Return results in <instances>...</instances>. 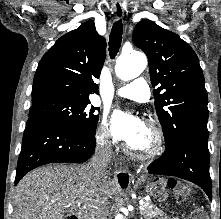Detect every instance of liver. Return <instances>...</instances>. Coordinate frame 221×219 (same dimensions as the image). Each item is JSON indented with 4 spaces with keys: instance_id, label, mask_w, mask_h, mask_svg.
Segmentation results:
<instances>
[{
    "instance_id": "6515ba94",
    "label": "liver",
    "mask_w": 221,
    "mask_h": 219,
    "mask_svg": "<svg viewBox=\"0 0 221 219\" xmlns=\"http://www.w3.org/2000/svg\"><path fill=\"white\" fill-rule=\"evenodd\" d=\"M112 192L107 177L94 175L89 164L50 165L29 172L13 195V219H64L69 206L83 202L106 213Z\"/></svg>"
}]
</instances>
